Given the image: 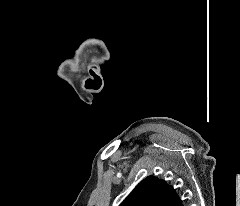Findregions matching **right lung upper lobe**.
<instances>
[{"mask_svg":"<svg viewBox=\"0 0 240 206\" xmlns=\"http://www.w3.org/2000/svg\"><path fill=\"white\" fill-rule=\"evenodd\" d=\"M119 206H183L175 190L165 181L149 176Z\"/></svg>","mask_w":240,"mask_h":206,"instance_id":"right-lung-upper-lobe-1","label":"right lung upper lobe"}]
</instances>
